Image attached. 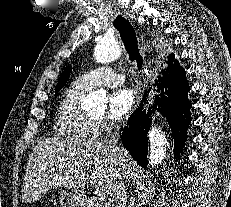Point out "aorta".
<instances>
[{"mask_svg": "<svg viewBox=\"0 0 231 207\" xmlns=\"http://www.w3.org/2000/svg\"><path fill=\"white\" fill-rule=\"evenodd\" d=\"M121 55V47L115 39L103 38L94 48V57L98 63H109L118 59ZM105 91L97 90L89 93L83 100V105L87 109L105 108L107 103ZM150 154L148 163L151 167H156L164 160L166 155V138L157 126H152L149 131Z\"/></svg>", "mask_w": 231, "mask_h": 207, "instance_id": "762f6f07", "label": "aorta"}]
</instances>
